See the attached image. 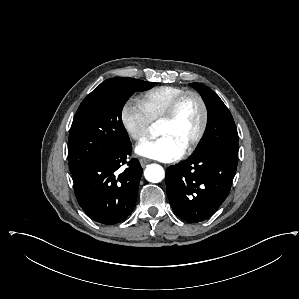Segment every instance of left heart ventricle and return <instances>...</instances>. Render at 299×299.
<instances>
[{
  "instance_id": "left-heart-ventricle-1",
  "label": "left heart ventricle",
  "mask_w": 299,
  "mask_h": 299,
  "mask_svg": "<svg viewBox=\"0 0 299 299\" xmlns=\"http://www.w3.org/2000/svg\"><path fill=\"white\" fill-rule=\"evenodd\" d=\"M201 119L202 110L199 102L196 98L189 97L182 104L173 122L159 124L158 134L171 138L185 149L197 134Z\"/></svg>"
}]
</instances>
